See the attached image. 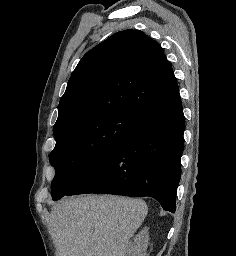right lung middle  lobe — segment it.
<instances>
[{
  "label": "right lung middle lobe",
  "mask_w": 236,
  "mask_h": 256,
  "mask_svg": "<svg viewBox=\"0 0 236 256\" xmlns=\"http://www.w3.org/2000/svg\"><path fill=\"white\" fill-rule=\"evenodd\" d=\"M128 112H114L74 123L54 133L50 153L55 167L52 198L58 200L77 185L140 122Z\"/></svg>",
  "instance_id": "right-lung-middle-lobe-1"
}]
</instances>
